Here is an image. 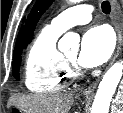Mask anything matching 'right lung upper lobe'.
Returning a JSON list of instances; mask_svg holds the SVG:
<instances>
[{
    "label": "right lung upper lobe",
    "instance_id": "1",
    "mask_svg": "<svg viewBox=\"0 0 123 113\" xmlns=\"http://www.w3.org/2000/svg\"><path fill=\"white\" fill-rule=\"evenodd\" d=\"M23 49V28H21L16 41L14 52H18Z\"/></svg>",
    "mask_w": 123,
    "mask_h": 113
}]
</instances>
